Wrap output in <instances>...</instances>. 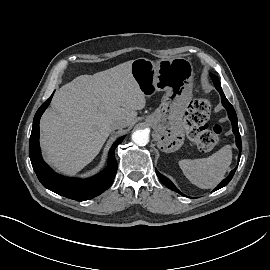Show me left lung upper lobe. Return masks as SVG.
<instances>
[{
	"mask_svg": "<svg viewBox=\"0 0 270 270\" xmlns=\"http://www.w3.org/2000/svg\"><path fill=\"white\" fill-rule=\"evenodd\" d=\"M211 78L213 79V82H214V84H215L216 89H217L219 92L222 91V88H221V84H220L219 79H218L215 75H213V74H211Z\"/></svg>",
	"mask_w": 270,
	"mask_h": 270,
	"instance_id": "5c2ea615",
	"label": "left lung upper lobe"
}]
</instances>
